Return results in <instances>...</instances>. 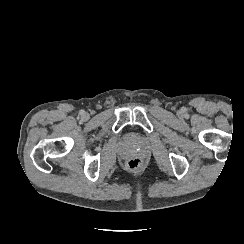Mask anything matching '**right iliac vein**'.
I'll return each mask as SVG.
<instances>
[{
	"label": "right iliac vein",
	"instance_id": "63e3f726",
	"mask_svg": "<svg viewBox=\"0 0 244 244\" xmlns=\"http://www.w3.org/2000/svg\"><path fill=\"white\" fill-rule=\"evenodd\" d=\"M87 117H88V116H86V115L84 116V118H87Z\"/></svg>",
	"mask_w": 244,
	"mask_h": 244
}]
</instances>
